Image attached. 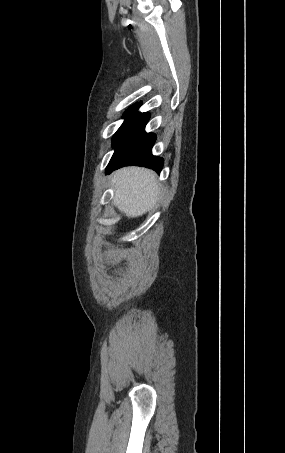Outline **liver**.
I'll use <instances>...</instances> for the list:
<instances>
[{
  "mask_svg": "<svg viewBox=\"0 0 285 453\" xmlns=\"http://www.w3.org/2000/svg\"><path fill=\"white\" fill-rule=\"evenodd\" d=\"M111 184L115 187L113 202L127 217H138L153 208L159 193L156 175L140 167L116 171Z\"/></svg>",
  "mask_w": 285,
  "mask_h": 453,
  "instance_id": "obj_1",
  "label": "liver"
}]
</instances>
